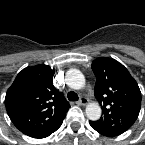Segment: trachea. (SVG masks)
Here are the masks:
<instances>
[{
  "label": "trachea",
  "mask_w": 145,
  "mask_h": 145,
  "mask_svg": "<svg viewBox=\"0 0 145 145\" xmlns=\"http://www.w3.org/2000/svg\"><path fill=\"white\" fill-rule=\"evenodd\" d=\"M67 98H68V100H70V101H77V100L79 99L77 93H75V92H73V91L68 92Z\"/></svg>",
  "instance_id": "3493384b"
}]
</instances>
